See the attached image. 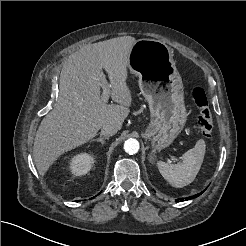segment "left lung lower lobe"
Listing matches in <instances>:
<instances>
[{"label": "left lung lower lobe", "instance_id": "obj_1", "mask_svg": "<svg viewBox=\"0 0 246 246\" xmlns=\"http://www.w3.org/2000/svg\"><path fill=\"white\" fill-rule=\"evenodd\" d=\"M202 194V192L201 193H198V194H196V195H194V196H191V197H187V198H182V199H178L177 201H184V200H189V199H192V198H195V197H198L199 195H201Z\"/></svg>", "mask_w": 246, "mask_h": 246}]
</instances>
